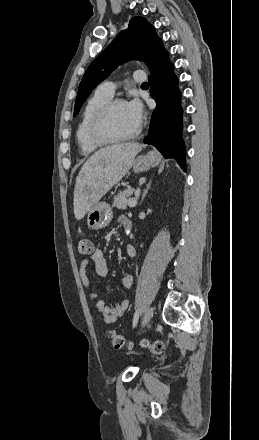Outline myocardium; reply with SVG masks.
<instances>
[{
    "mask_svg": "<svg viewBox=\"0 0 259 440\" xmlns=\"http://www.w3.org/2000/svg\"><path fill=\"white\" fill-rule=\"evenodd\" d=\"M120 103H125V101L121 98L110 99L95 112L88 126V136L92 142L100 145L118 144L132 140L140 134V125L132 133L125 136L110 134L108 130L109 118L114 107Z\"/></svg>",
    "mask_w": 259,
    "mask_h": 440,
    "instance_id": "obj_1",
    "label": "myocardium"
}]
</instances>
